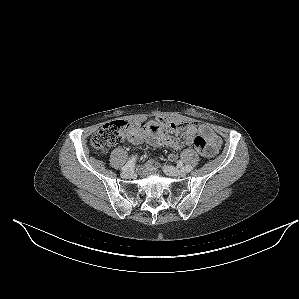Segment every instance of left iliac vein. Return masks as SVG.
<instances>
[{
  "label": "left iliac vein",
  "instance_id": "left-iliac-vein-1",
  "mask_svg": "<svg viewBox=\"0 0 299 299\" xmlns=\"http://www.w3.org/2000/svg\"><path fill=\"white\" fill-rule=\"evenodd\" d=\"M163 170L168 176H172V177H185L186 176V172L184 170H179L173 166L165 165L163 167Z\"/></svg>",
  "mask_w": 299,
  "mask_h": 299
}]
</instances>
